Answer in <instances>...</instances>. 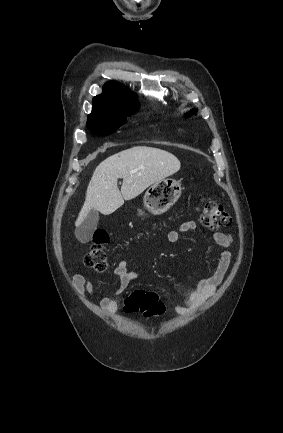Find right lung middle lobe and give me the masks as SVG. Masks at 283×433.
<instances>
[{
	"label": "right lung middle lobe",
	"mask_w": 283,
	"mask_h": 433,
	"mask_svg": "<svg viewBox=\"0 0 283 433\" xmlns=\"http://www.w3.org/2000/svg\"><path fill=\"white\" fill-rule=\"evenodd\" d=\"M136 111L137 109L90 114L87 119V126L95 134L108 135L123 125L126 117L131 116Z\"/></svg>",
	"instance_id": "dd1d6c3e"
}]
</instances>
